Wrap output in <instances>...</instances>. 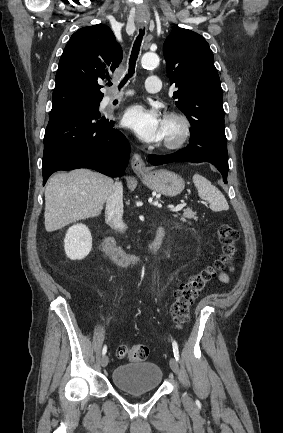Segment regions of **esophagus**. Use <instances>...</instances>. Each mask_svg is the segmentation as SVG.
Returning <instances> with one entry per match:
<instances>
[{
    "mask_svg": "<svg viewBox=\"0 0 283 433\" xmlns=\"http://www.w3.org/2000/svg\"><path fill=\"white\" fill-rule=\"evenodd\" d=\"M131 167L133 168L134 172H147L146 165L138 153H134V155L132 156Z\"/></svg>",
    "mask_w": 283,
    "mask_h": 433,
    "instance_id": "esophagus-1",
    "label": "esophagus"
}]
</instances>
